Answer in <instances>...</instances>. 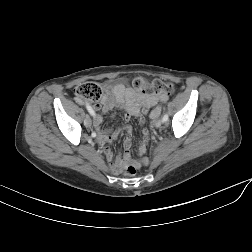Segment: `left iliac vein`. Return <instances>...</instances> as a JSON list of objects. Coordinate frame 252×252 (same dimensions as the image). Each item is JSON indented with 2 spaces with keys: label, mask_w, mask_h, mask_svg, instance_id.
<instances>
[{
  "label": "left iliac vein",
  "mask_w": 252,
  "mask_h": 252,
  "mask_svg": "<svg viewBox=\"0 0 252 252\" xmlns=\"http://www.w3.org/2000/svg\"><path fill=\"white\" fill-rule=\"evenodd\" d=\"M161 124H162L161 120H159V119H157V118H154V120H153V125H154L155 127H160Z\"/></svg>",
  "instance_id": "left-iliac-vein-1"
}]
</instances>
